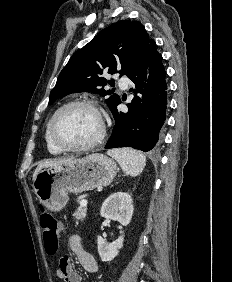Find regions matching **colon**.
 <instances>
[{
    "instance_id": "colon-1",
    "label": "colon",
    "mask_w": 232,
    "mask_h": 282,
    "mask_svg": "<svg viewBox=\"0 0 232 282\" xmlns=\"http://www.w3.org/2000/svg\"><path fill=\"white\" fill-rule=\"evenodd\" d=\"M39 218L43 231L45 251L49 256H54L58 252L60 245V224L52 214L46 211H42Z\"/></svg>"
}]
</instances>
